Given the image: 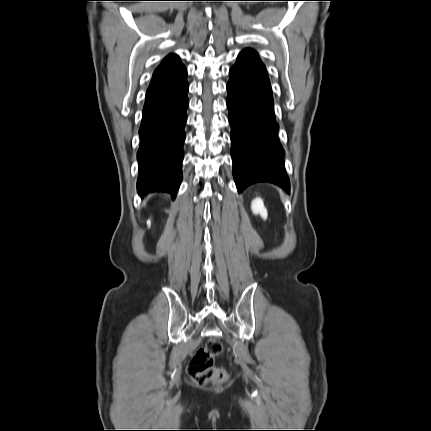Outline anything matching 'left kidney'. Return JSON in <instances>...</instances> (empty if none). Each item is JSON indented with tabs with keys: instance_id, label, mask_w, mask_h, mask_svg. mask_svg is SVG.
Here are the masks:
<instances>
[{
	"instance_id": "5707ae66",
	"label": "left kidney",
	"mask_w": 431,
	"mask_h": 431,
	"mask_svg": "<svg viewBox=\"0 0 431 431\" xmlns=\"http://www.w3.org/2000/svg\"><path fill=\"white\" fill-rule=\"evenodd\" d=\"M252 210L255 214H260L264 219L267 218V211L264 207V204L261 198H256L252 202Z\"/></svg>"
}]
</instances>
